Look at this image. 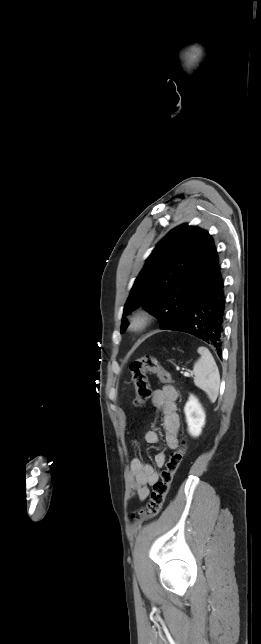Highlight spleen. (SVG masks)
Wrapping results in <instances>:
<instances>
[{"instance_id": "3e777b00", "label": "spleen", "mask_w": 261, "mask_h": 644, "mask_svg": "<svg viewBox=\"0 0 261 644\" xmlns=\"http://www.w3.org/2000/svg\"><path fill=\"white\" fill-rule=\"evenodd\" d=\"M197 352L201 355L193 367L194 384L206 392L211 402H215L220 386V375L215 360L210 351L199 347Z\"/></svg>"}]
</instances>
